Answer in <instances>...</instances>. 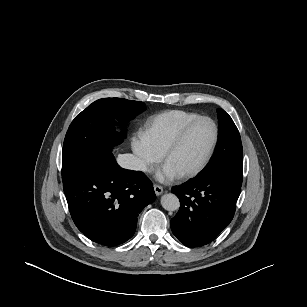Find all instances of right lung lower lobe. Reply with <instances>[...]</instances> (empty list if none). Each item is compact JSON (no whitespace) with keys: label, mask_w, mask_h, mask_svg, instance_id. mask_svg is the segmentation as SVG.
<instances>
[{"label":"right lung lower lobe","mask_w":307,"mask_h":307,"mask_svg":"<svg viewBox=\"0 0 307 307\" xmlns=\"http://www.w3.org/2000/svg\"><path fill=\"white\" fill-rule=\"evenodd\" d=\"M63 189L77 228L106 246L130 239L139 213L156 199L146 175L121 168L110 151L63 183Z\"/></svg>","instance_id":"right-lung-lower-lobe-1"}]
</instances>
